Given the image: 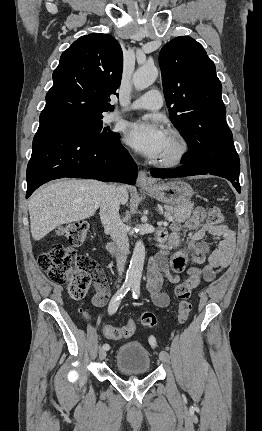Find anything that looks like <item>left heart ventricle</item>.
I'll return each mask as SVG.
<instances>
[{"instance_id":"b2bd125f","label":"left heart ventricle","mask_w":262,"mask_h":431,"mask_svg":"<svg viewBox=\"0 0 262 431\" xmlns=\"http://www.w3.org/2000/svg\"><path fill=\"white\" fill-rule=\"evenodd\" d=\"M174 150H175V144H174L172 138L168 135L167 140H166V144H165L164 149L160 155V158L172 154L174 152Z\"/></svg>"}]
</instances>
